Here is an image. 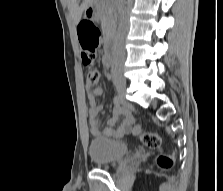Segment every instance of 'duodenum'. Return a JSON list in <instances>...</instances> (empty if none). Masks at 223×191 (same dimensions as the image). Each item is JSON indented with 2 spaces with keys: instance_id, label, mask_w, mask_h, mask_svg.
Masks as SVG:
<instances>
[{
  "instance_id": "410a0bca",
  "label": "duodenum",
  "mask_w": 223,
  "mask_h": 191,
  "mask_svg": "<svg viewBox=\"0 0 223 191\" xmlns=\"http://www.w3.org/2000/svg\"><path fill=\"white\" fill-rule=\"evenodd\" d=\"M87 17H94L96 15V9L94 6H88L85 10ZM105 55L107 58H111L112 55V40L110 37H107L105 43Z\"/></svg>"
}]
</instances>
